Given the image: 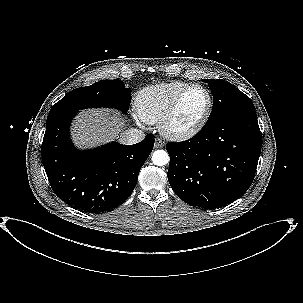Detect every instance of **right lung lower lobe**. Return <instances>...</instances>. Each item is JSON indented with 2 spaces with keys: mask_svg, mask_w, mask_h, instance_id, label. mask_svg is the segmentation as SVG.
I'll list each match as a JSON object with an SVG mask.
<instances>
[{
  "mask_svg": "<svg viewBox=\"0 0 303 303\" xmlns=\"http://www.w3.org/2000/svg\"><path fill=\"white\" fill-rule=\"evenodd\" d=\"M78 111L49 114L42 143V163L55 194L73 208L101 213L121 205L137 184L154 146L148 134L134 145L116 142L94 150L76 149L69 126Z\"/></svg>",
  "mask_w": 303,
  "mask_h": 303,
  "instance_id": "right-lung-lower-lobe-1",
  "label": "right lung lower lobe"
}]
</instances>
